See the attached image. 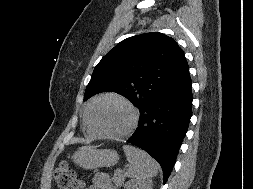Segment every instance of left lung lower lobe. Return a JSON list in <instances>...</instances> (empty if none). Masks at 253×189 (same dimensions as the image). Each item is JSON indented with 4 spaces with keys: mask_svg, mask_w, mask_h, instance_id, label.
<instances>
[{
    "mask_svg": "<svg viewBox=\"0 0 253 189\" xmlns=\"http://www.w3.org/2000/svg\"><path fill=\"white\" fill-rule=\"evenodd\" d=\"M191 78L187 62L175 78L140 109L138 128L127 140L162 167L166 183L192 116Z\"/></svg>",
    "mask_w": 253,
    "mask_h": 189,
    "instance_id": "0a47b994",
    "label": "left lung lower lobe"
}]
</instances>
